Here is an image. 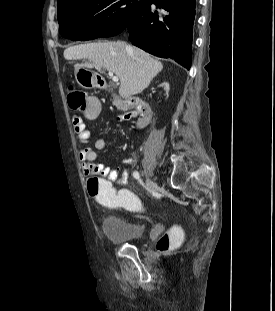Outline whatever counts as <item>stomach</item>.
I'll list each match as a JSON object with an SVG mask.
<instances>
[{
	"instance_id": "0dacf381",
	"label": "stomach",
	"mask_w": 275,
	"mask_h": 311,
	"mask_svg": "<svg viewBox=\"0 0 275 311\" xmlns=\"http://www.w3.org/2000/svg\"><path fill=\"white\" fill-rule=\"evenodd\" d=\"M96 74L88 68L78 67L75 69V78L77 83L84 88H93L97 84L94 83Z\"/></svg>"
}]
</instances>
